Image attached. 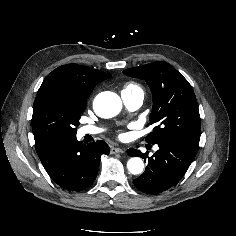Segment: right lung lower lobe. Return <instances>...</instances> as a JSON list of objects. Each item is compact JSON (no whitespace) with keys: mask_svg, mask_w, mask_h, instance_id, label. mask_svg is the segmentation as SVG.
Listing matches in <instances>:
<instances>
[{"mask_svg":"<svg viewBox=\"0 0 236 236\" xmlns=\"http://www.w3.org/2000/svg\"><path fill=\"white\" fill-rule=\"evenodd\" d=\"M36 152L51 179L67 191H82L95 180L101 155L109 146L101 140L84 145L74 136L35 140Z\"/></svg>","mask_w":236,"mask_h":236,"instance_id":"right-lung-lower-lobe-1","label":"right lung lower lobe"}]
</instances>
